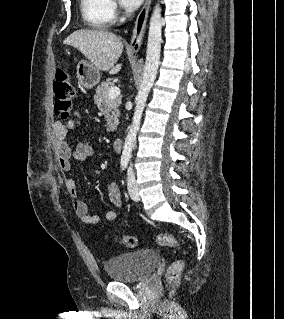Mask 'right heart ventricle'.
<instances>
[{
	"label": "right heart ventricle",
	"instance_id": "1",
	"mask_svg": "<svg viewBox=\"0 0 284 319\" xmlns=\"http://www.w3.org/2000/svg\"><path fill=\"white\" fill-rule=\"evenodd\" d=\"M84 22L96 29L111 25L113 18L109 11V0H79Z\"/></svg>",
	"mask_w": 284,
	"mask_h": 319
}]
</instances>
